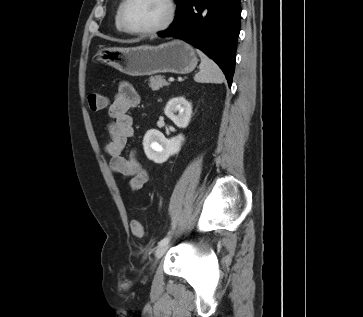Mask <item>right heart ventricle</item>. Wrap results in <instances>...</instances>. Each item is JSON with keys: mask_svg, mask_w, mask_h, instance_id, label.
Listing matches in <instances>:
<instances>
[{"mask_svg": "<svg viewBox=\"0 0 363 317\" xmlns=\"http://www.w3.org/2000/svg\"><path fill=\"white\" fill-rule=\"evenodd\" d=\"M120 5H121V3L118 5V7H117V9H116L115 16H114V21H115V27H116V29H117L119 32H122L123 30H122V28H121V26H120V23H119V17H118Z\"/></svg>", "mask_w": 363, "mask_h": 317, "instance_id": "right-heart-ventricle-1", "label": "right heart ventricle"}]
</instances>
